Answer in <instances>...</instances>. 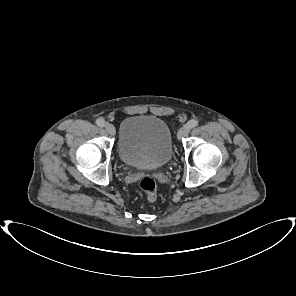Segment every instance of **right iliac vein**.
<instances>
[{"instance_id":"63e3f726","label":"right iliac vein","mask_w":296,"mask_h":296,"mask_svg":"<svg viewBox=\"0 0 296 296\" xmlns=\"http://www.w3.org/2000/svg\"><path fill=\"white\" fill-rule=\"evenodd\" d=\"M105 130L107 131V133H109L110 135H115V127L112 124L107 123L105 125Z\"/></svg>"}]
</instances>
